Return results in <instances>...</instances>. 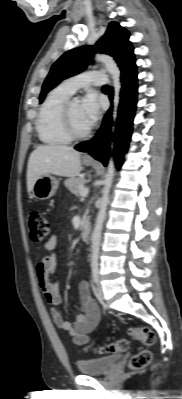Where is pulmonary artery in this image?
Wrapping results in <instances>:
<instances>
[{"mask_svg": "<svg viewBox=\"0 0 182 399\" xmlns=\"http://www.w3.org/2000/svg\"><path fill=\"white\" fill-rule=\"evenodd\" d=\"M105 82L106 75L104 72L99 70H91L64 80L60 84V87L70 94H73L80 88L87 87L91 84L101 85Z\"/></svg>", "mask_w": 182, "mask_h": 399, "instance_id": "e3ab8cb5", "label": "pulmonary artery"}]
</instances>
